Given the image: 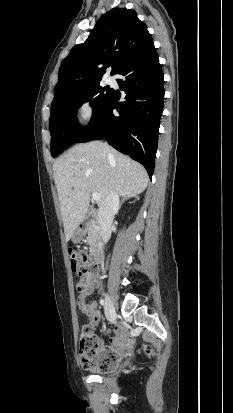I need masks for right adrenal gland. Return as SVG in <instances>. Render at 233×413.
I'll return each mask as SVG.
<instances>
[{"label": "right adrenal gland", "mask_w": 233, "mask_h": 413, "mask_svg": "<svg viewBox=\"0 0 233 413\" xmlns=\"http://www.w3.org/2000/svg\"><path fill=\"white\" fill-rule=\"evenodd\" d=\"M128 197H124L122 200H121V203H120V206H119V208L122 206V204L124 203V201L127 199ZM137 199H138V197H136Z\"/></svg>", "instance_id": "2a0ac1e0"}]
</instances>
